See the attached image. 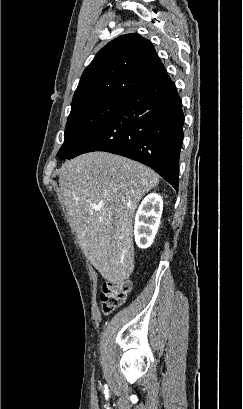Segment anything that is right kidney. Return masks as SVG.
<instances>
[{
    "mask_svg": "<svg viewBox=\"0 0 243 409\" xmlns=\"http://www.w3.org/2000/svg\"><path fill=\"white\" fill-rule=\"evenodd\" d=\"M162 210L163 200L160 195L151 193L142 200L136 212L134 225L135 242L139 248L146 249L153 243Z\"/></svg>",
    "mask_w": 243,
    "mask_h": 409,
    "instance_id": "ca27d5eb",
    "label": "right kidney"
}]
</instances>
